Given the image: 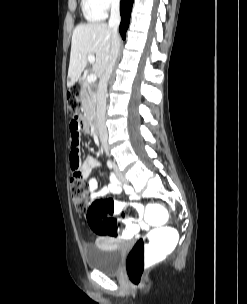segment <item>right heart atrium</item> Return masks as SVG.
I'll return each instance as SVG.
<instances>
[{
    "label": "right heart atrium",
    "mask_w": 247,
    "mask_h": 304,
    "mask_svg": "<svg viewBox=\"0 0 247 304\" xmlns=\"http://www.w3.org/2000/svg\"><path fill=\"white\" fill-rule=\"evenodd\" d=\"M101 10L107 12L111 8L117 6L120 0H95Z\"/></svg>",
    "instance_id": "d8ad5b80"
}]
</instances>
